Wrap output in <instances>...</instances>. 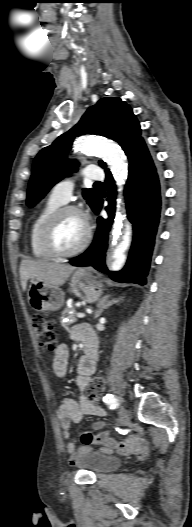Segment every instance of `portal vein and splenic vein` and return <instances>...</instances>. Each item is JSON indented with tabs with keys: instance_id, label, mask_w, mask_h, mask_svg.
Returning <instances> with one entry per match:
<instances>
[{
	"instance_id": "1",
	"label": "portal vein and splenic vein",
	"mask_w": 192,
	"mask_h": 527,
	"mask_svg": "<svg viewBox=\"0 0 192 527\" xmlns=\"http://www.w3.org/2000/svg\"><path fill=\"white\" fill-rule=\"evenodd\" d=\"M78 318H84L85 317V313H77L76 315Z\"/></svg>"
}]
</instances>
